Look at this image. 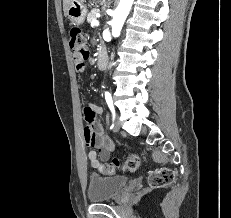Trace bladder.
I'll use <instances>...</instances> for the list:
<instances>
[{"mask_svg":"<svg viewBox=\"0 0 231 218\" xmlns=\"http://www.w3.org/2000/svg\"><path fill=\"white\" fill-rule=\"evenodd\" d=\"M128 179L124 176L101 177L91 175L88 185V199L99 203L117 197L126 187Z\"/></svg>","mask_w":231,"mask_h":218,"instance_id":"bladder-1","label":"bladder"}]
</instances>
